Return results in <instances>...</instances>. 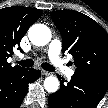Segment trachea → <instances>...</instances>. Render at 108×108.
<instances>
[{
  "label": "trachea",
  "instance_id": "trachea-1",
  "mask_svg": "<svg viewBox=\"0 0 108 108\" xmlns=\"http://www.w3.org/2000/svg\"><path fill=\"white\" fill-rule=\"evenodd\" d=\"M17 63L19 65L23 66V67H32L34 65V61L31 60V59L17 61ZM41 66L46 71H49V72H54L55 71V68L48 63H42Z\"/></svg>",
  "mask_w": 108,
  "mask_h": 108
}]
</instances>
